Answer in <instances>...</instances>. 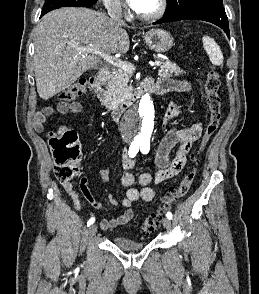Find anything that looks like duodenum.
<instances>
[{
  "label": "duodenum",
  "instance_id": "obj_1",
  "mask_svg": "<svg viewBox=\"0 0 259 294\" xmlns=\"http://www.w3.org/2000/svg\"><path fill=\"white\" fill-rule=\"evenodd\" d=\"M110 75V69L102 68L96 74H94L89 81V91L94 97H99L100 88L106 78ZM153 89V81L150 78L143 79L139 85L135 88L130 100L118 107L112 112L114 121H118L124 112L136 101L140 100L144 94Z\"/></svg>",
  "mask_w": 259,
  "mask_h": 294
}]
</instances>
